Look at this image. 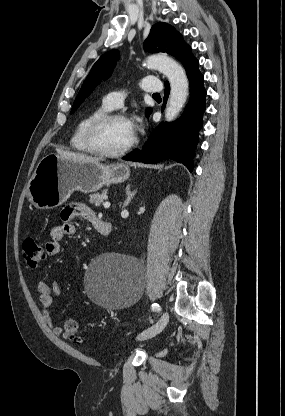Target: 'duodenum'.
I'll return each instance as SVG.
<instances>
[{"label": "duodenum", "mask_w": 285, "mask_h": 416, "mask_svg": "<svg viewBox=\"0 0 285 416\" xmlns=\"http://www.w3.org/2000/svg\"><path fill=\"white\" fill-rule=\"evenodd\" d=\"M93 225L96 227L99 234L103 237L110 236L112 227L109 222L102 221L98 218L93 219Z\"/></svg>", "instance_id": "obj_1"}]
</instances>
